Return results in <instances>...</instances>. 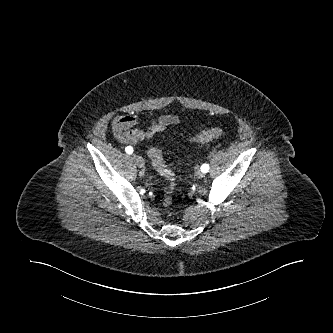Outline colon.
Listing matches in <instances>:
<instances>
[{
  "label": "colon",
  "instance_id": "5ec220e1",
  "mask_svg": "<svg viewBox=\"0 0 333 333\" xmlns=\"http://www.w3.org/2000/svg\"><path fill=\"white\" fill-rule=\"evenodd\" d=\"M224 134L225 131L222 128L214 127L194 135L193 137H191L190 140L196 143H206L211 140L217 139L223 136ZM149 156L154 168L169 183L168 188L164 192V198H163L164 206L169 207L172 203V198L176 185L175 172L172 168H170L166 164L159 145H154L149 149Z\"/></svg>",
  "mask_w": 333,
  "mask_h": 333
}]
</instances>
